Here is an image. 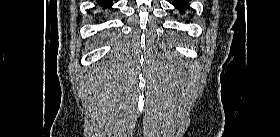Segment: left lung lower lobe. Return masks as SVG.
Listing matches in <instances>:
<instances>
[{
  "instance_id": "0a47b994",
  "label": "left lung lower lobe",
  "mask_w": 280,
  "mask_h": 137,
  "mask_svg": "<svg viewBox=\"0 0 280 137\" xmlns=\"http://www.w3.org/2000/svg\"><path fill=\"white\" fill-rule=\"evenodd\" d=\"M188 2L189 0H174L173 4L181 13H183L188 6Z\"/></svg>"
}]
</instances>
